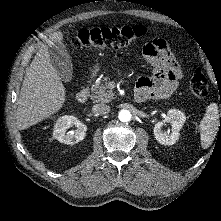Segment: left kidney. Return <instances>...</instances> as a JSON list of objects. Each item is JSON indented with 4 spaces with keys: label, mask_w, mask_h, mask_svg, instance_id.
Here are the masks:
<instances>
[{
    "label": "left kidney",
    "mask_w": 221,
    "mask_h": 221,
    "mask_svg": "<svg viewBox=\"0 0 221 221\" xmlns=\"http://www.w3.org/2000/svg\"><path fill=\"white\" fill-rule=\"evenodd\" d=\"M186 116L183 112L177 109H170L163 121L155 124L153 129L156 140L163 145H173L179 139L180 130L185 123ZM171 123V132L164 133L162 130L163 125Z\"/></svg>",
    "instance_id": "obj_1"
}]
</instances>
